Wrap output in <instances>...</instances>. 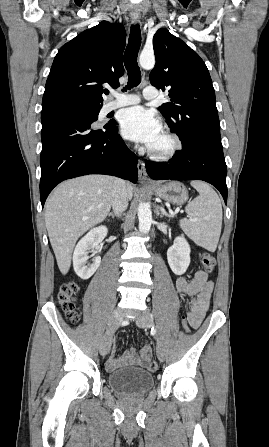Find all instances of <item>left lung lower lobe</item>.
<instances>
[{
	"label": "left lung lower lobe",
	"mask_w": 269,
	"mask_h": 447,
	"mask_svg": "<svg viewBox=\"0 0 269 447\" xmlns=\"http://www.w3.org/2000/svg\"><path fill=\"white\" fill-rule=\"evenodd\" d=\"M146 170L154 180H203L214 185L227 204V167L221 143L200 141L189 150L176 153L170 164L147 162Z\"/></svg>",
	"instance_id": "0a47b994"
}]
</instances>
